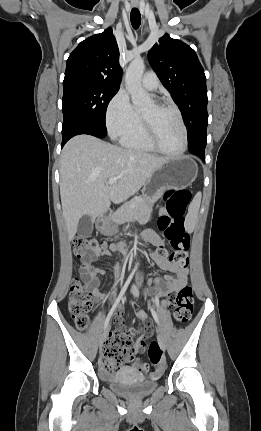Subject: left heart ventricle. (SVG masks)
Wrapping results in <instances>:
<instances>
[{"label": "left heart ventricle", "instance_id": "1", "mask_svg": "<svg viewBox=\"0 0 261 431\" xmlns=\"http://www.w3.org/2000/svg\"><path fill=\"white\" fill-rule=\"evenodd\" d=\"M142 115L153 125L158 143L164 150L175 153L181 149L182 129L172 110L158 109L152 102L142 111Z\"/></svg>", "mask_w": 261, "mask_h": 431}]
</instances>
